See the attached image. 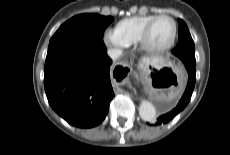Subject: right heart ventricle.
<instances>
[{
  "label": "right heart ventricle",
  "instance_id": "obj_1",
  "mask_svg": "<svg viewBox=\"0 0 230 155\" xmlns=\"http://www.w3.org/2000/svg\"><path fill=\"white\" fill-rule=\"evenodd\" d=\"M156 16L157 15H138L125 18L116 24L114 31L127 44L137 43L145 26Z\"/></svg>",
  "mask_w": 230,
  "mask_h": 155
}]
</instances>
